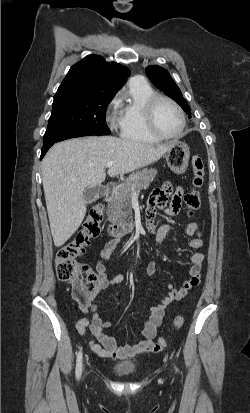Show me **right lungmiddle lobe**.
<instances>
[{
  "label": "right lung middle lobe",
  "mask_w": 250,
  "mask_h": 413,
  "mask_svg": "<svg viewBox=\"0 0 250 413\" xmlns=\"http://www.w3.org/2000/svg\"><path fill=\"white\" fill-rule=\"evenodd\" d=\"M114 95L75 86L58 88L43 143L75 131L110 134L105 113Z\"/></svg>",
  "instance_id": "right-lung-middle-lobe-1"
}]
</instances>
